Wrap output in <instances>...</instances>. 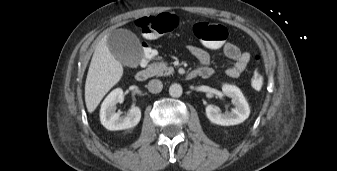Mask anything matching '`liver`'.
Listing matches in <instances>:
<instances>
[{
    "instance_id": "liver-1",
    "label": "liver",
    "mask_w": 337,
    "mask_h": 171,
    "mask_svg": "<svg viewBox=\"0 0 337 171\" xmlns=\"http://www.w3.org/2000/svg\"><path fill=\"white\" fill-rule=\"evenodd\" d=\"M122 75L123 66L110 52L107 37H104L96 46L85 83V103L89 113L96 109Z\"/></svg>"
}]
</instances>
